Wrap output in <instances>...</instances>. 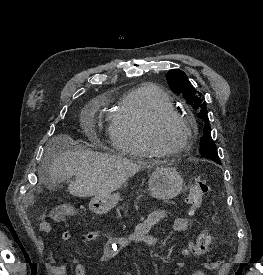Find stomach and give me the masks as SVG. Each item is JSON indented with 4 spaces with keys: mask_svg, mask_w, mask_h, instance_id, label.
<instances>
[{
    "mask_svg": "<svg viewBox=\"0 0 263 275\" xmlns=\"http://www.w3.org/2000/svg\"><path fill=\"white\" fill-rule=\"evenodd\" d=\"M149 190L153 197L169 200L177 197L182 191L184 181L175 168L157 167L149 176ZM120 201V194L113 193L105 197H94L89 208L96 214H104L114 208Z\"/></svg>",
    "mask_w": 263,
    "mask_h": 275,
    "instance_id": "1",
    "label": "stomach"
}]
</instances>
